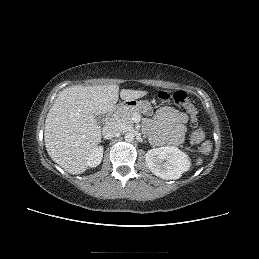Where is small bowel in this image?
Here are the masks:
<instances>
[{"label": "small bowel", "mask_w": 259, "mask_h": 259, "mask_svg": "<svg viewBox=\"0 0 259 259\" xmlns=\"http://www.w3.org/2000/svg\"><path fill=\"white\" fill-rule=\"evenodd\" d=\"M189 116L190 114L172 107L160 108L153 121L156 127V141L174 145L179 144L186 133V123L189 121Z\"/></svg>", "instance_id": "1"}]
</instances>
